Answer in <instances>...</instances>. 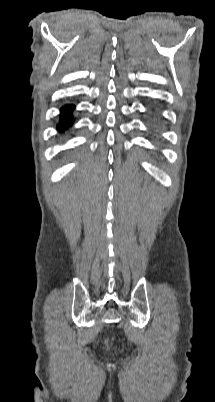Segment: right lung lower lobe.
I'll return each mask as SVG.
<instances>
[{"mask_svg": "<svg viewBox=\"0 0 215 402\" xmlns=\"http://www.w3.org/2000/svg\"><path fill=\"white\" fill-rule=\"evenodd\" d=\"M74 109L75 106L72 104L65 105L61 108V116L57 125V130L59 132H64L75 122V118L72 113Z\"/></svg>", "mask_w": 215, "mask_h": 402, "instance_id": "1", "label": "right lung lower lobe"}]
</instances>
